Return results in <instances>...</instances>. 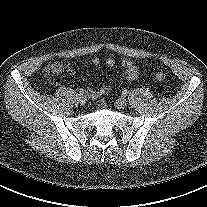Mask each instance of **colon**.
Segmentation results:
<instances>
[{
	"instance_id": "obj_1",
	"label": "colon",
	"mask_w": 207,
	"mask_h": 207,
	"mask_svg": "<svg viewBox=\"0 0 207 207\" xmlns=\"http://www.w3.org/2000/svg\"><path fill=\"white\" fill-rule=\"evenodd\" d=\"M59 72V69H58V67L57 66H49V68L47 69V74L49 75V76H52V75H55V74H57ZM154 78L156 79V80H158V81H163V80H165V78H166V74H165V72H163V71H156L155 73H154Z\"/></svg>"
}]
</instances>
